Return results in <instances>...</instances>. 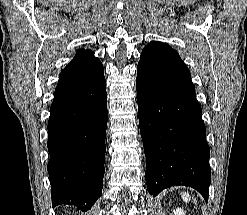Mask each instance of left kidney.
I'll list each match as a JSON object with an SVG mask.
<instances>
[{
  "mask_svg": "<svg viewBox=\"0 0 247 215\" xmlns=\"http://www.w3.org/2000/svg\"><path fill=\"white\" fill-rule=\"evenodd\" d=\"M174 215H186L185 211L181 208H176L173 210Z\"/></svg>",
  "mask_w": 247,
  "mask_h": 215,
  "instance_id": "1",
  "label": "left kidney"
}]
</instances>
